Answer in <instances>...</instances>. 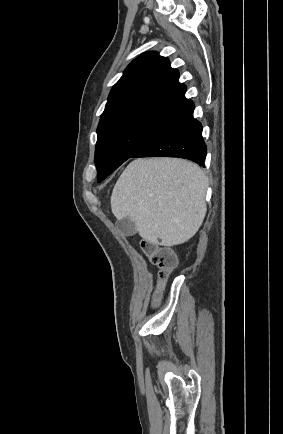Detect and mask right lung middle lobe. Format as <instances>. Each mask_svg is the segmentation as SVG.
Segmentation results:
<instances>
[{"label": "right lung middle lobe", "instance_id": "right-lung-middle-lobe-1", "mask_svg": "<svg viewBox=\"0 0 283 434\" xmlns=\"http://www.w3.org/2000/svg\"><path fill=\"white\" fill-rule=\"evenodd\" d=\"M172 120L151 114H126L99 123L95 164L98 182L104 180Z\"/></svg>", "mask_w": 283, "mask_h": 434}]
</instances>
